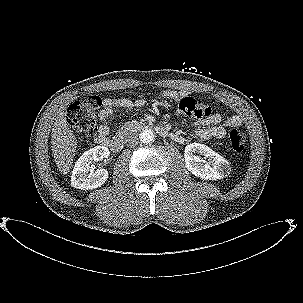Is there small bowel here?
I'll use <instances>...</instances> for the list:
<instances>
[{
	"label": "small bowel",
	"instance_id": "c3829d8e",
	"mask_svg": "<svg viewBox=\"0 0 303 303\" xmlns=\"http://www.w3.org/2000/svg\"><path fill=\"white\" fill-rule=\"evenodd\" d=\"M162 96L168 97L174 101H180L182 98L190 97L187 92H177L165 90L161 92ZM145 100L138 99L132 102L128 99H106L102 109L98 113L100 126L97 134V141L104 144L109 139L110 127L107 124L108 119L113 115L115 109H132L144 108ZM205 115L199 118L197 124L199 126L196 134L203 140L222 139L226 134V128L238 127L242 124V120L237 115L228 117L224 123H221V116L213 113L209 108L203 107ZM171 139L175 142L182 143L183 137L177 133H171Z\"/></svg>",
	"mask_w": 303,
	"mask_h": 303
}]
</instances>
